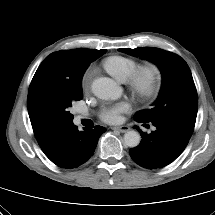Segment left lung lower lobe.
<instances>
[{"mask_svg": "<svg viewBox=\"0 0 215 215\" xmlns=\"http://www.w3.org/2000/svg\"><path fill=\"white\" fill-rule=\"evenodd\" d=\"M135 121L149 123L142 120ZM150 123L156 127L155 131L146 134L139 130L142 136L141 142L138 146L131 148L129 154L141 167L162 168L173 162L184 151L191 136L168 123Z\"/></svg>", "mask_w": 215, "mask_h": 215, "instance_id": "obj_1", "label": "left lung lower lobe"}]
</instances>
